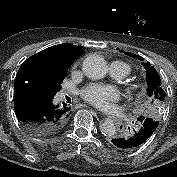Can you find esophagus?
Here are the masks:
<instances>
[{
  "label": "esophagus",
  "instance_id": "34e87169",
  "mask_svg": "<svg viewBox=\"0 0 177 177\" xmlns=\"http://www.w3.org/2000/svg\"><path fill=\"white\" fill-rule=\"evenodd\" d=\"M99 115H100L101 117H104V116L106 115V112H105L104 110H101V111L99 112Z\"/></svg>",
  "mask_w": 177,
  "mask_h": 177
}]
</instances>
